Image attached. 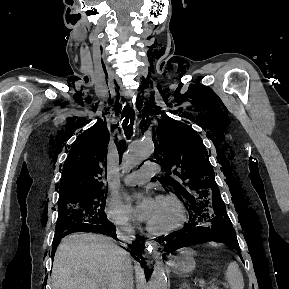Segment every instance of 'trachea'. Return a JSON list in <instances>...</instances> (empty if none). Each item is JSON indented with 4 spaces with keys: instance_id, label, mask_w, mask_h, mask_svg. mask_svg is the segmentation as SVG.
Here are the masks:
<instances>
[{
    "instance_id": "3493384b",
    "label": "trachea",
    "mask_w": 289,
    "mask_h": 289,
    "mask_svg": "<svg viewBox=\"0 0 289 289\" xmlns=\"http://www.w3.org/2000/svg\"><path fill=\"white\" fill-rule=\"evenodd\" d=\"M123 117H125V119L122 123V127L126 137L129 139L133 134V123L135 119L134 109L130 106H127L124 110Z\"/></svg>"
}]
</instances>
